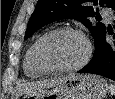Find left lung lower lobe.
Returning a JSON list of instances; mask_svg holds the SVG:
<instances>
[{
	"label": "left lung lower lobe",
	"mask_w": 115,
	"mask_h": 99,
	"mask_svg": "<svg viewBox=\"0 0 115 99\" xmlns=\"http://www.w3.org/2000/svg\"><path fill=\"white\" fill-rule=\"evenodd\" d=\"M106 33L107 30L99 38L90 62L78 73L98 74L115 81V41L113 43L107 42L105 38ZM108 33L112 34V31L108 29Z\"/></svg>",
	"instance_id": "1"
}]
</instances>
